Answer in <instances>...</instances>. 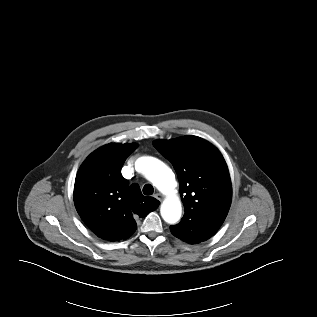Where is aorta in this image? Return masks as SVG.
<instances>
[{"label":"aorta","mask_w":317,"mask_h":317,"mask_svg":"<svg viewBox=\"0 0 317 317\" xmlns=\"http://www.w3.org/2000/svg\"><path fill=\"white\" fill-rule=\"evenodd\" d=\"M138 164L140 174L166 195L160 208L162 218L169 224H175L181 217L182 206L179 197L170 194L177 186L174 173L168 165L153 156L141 157Z\"/></svg>","instance_id":"1"}]
</instances>
